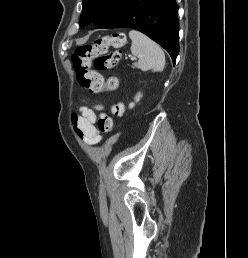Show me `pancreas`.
Wrapping results in <instances>:
<instances>
[{
  "instance_id": "pancreas-1",
  "label": "pancreas",
  "mask_w": 248,
  "mask_h": 258,
  "mask_svg": "<svg viewBox=\"0 0 248 258\" xmlns=\"http://www.w3.org/2000/svg\"><path fill=\"white\" fill-rule=\"evenodd\" d=\"M135 67H137V63H134V64L132 65V68H135Z\"/></svg>"
}]
</instances>
